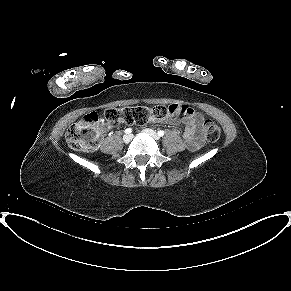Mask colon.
I'll use <instances>...</instances> for the list:
<instances>
[{
	"label": "colon",
	"mask_w": 291,
	"mask_h": 291,
	"mask_svg": "<svg viewBox=\"0 0 291 291\" xmlns=\"http://www.w3.org/2000/svg\"><path fill=\"white\" fill-rule=\"evenodd\" d=\"M186 105L156 106H131L124 108H108L101 115L91 112L82 117L66 133V142L71 149L93 151L98 145L99 122L101 120L115 124L144 125L152 118L163 119L169 115L184 113ZM204 135L209 142H215L220 137V128L212 120H205L203 124Z\"/></svg>",
	"instance_id": "obj_1"
}]
</instances>
